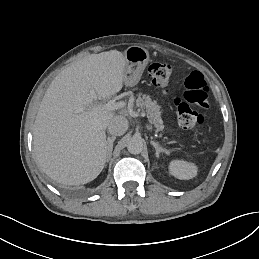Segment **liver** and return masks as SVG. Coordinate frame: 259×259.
I'll use <instances>...</instances> for the list:
<instances>
[{"mask_svg":"<svg viewBox=\"0 0 259 259\" xmlns=\"http://www.w3.org/2000/svg\"><path fill=\"white\" fill-rule=\"evenodd\" d=\"M125 58L117 50L89 54L63 69L49 85L33 126V152L53 180L80 185L103 170L105 130L114 116L90 94L107 99L122 89ZM83 107L81 113H74ZM122 111L120 112V114Z\"/></svg>","mask_w":259,"mask_h":259,"instance_id":"6515ba94","label":"liver"}]
</instances>
